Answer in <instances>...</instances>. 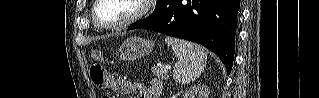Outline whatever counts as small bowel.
Masks as SVG:
<instances>
[{"label": "small bowel", "mask_w": 319, "mask_h": 98, "mask_svg": "<svg viewBox=\"0 0 319 98\" xmlns=\"http://www.w3.org/2000/svg\"><path fill=\"white\" fill-rule=\"evenodd\" d=\"M108 86L124 95L137 92L139 94V98H158L159 92L162 89V85L159 81H154L152 85H146L133 83L118 75L110 77Z\"/></svg>", "instance_id": "obj_1"}]
</instances>
